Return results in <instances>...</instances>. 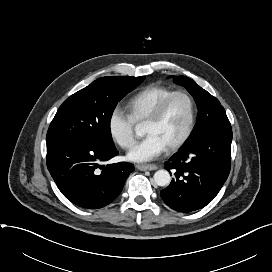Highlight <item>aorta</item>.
<instances>
[{"label": "aorta", "instance_id": "obj_1", "mask_svg": "<svg viewBox=\"0 0 272 272\" xmlns=\"http://www.w3.org/2000/svg\"><path fill=\"white\" fill-rule=\"evenodd\" d=\"M136 135L137 136H143L144 135V131L142 128H137L136 129ZM171 181V176L169 174V172L167 170H158L155 172L154 174V182L156 183V185L158 186H167L170 184Z\"/></svg>", "mask_w": 272, "mask_h": 272}]
</instances>
